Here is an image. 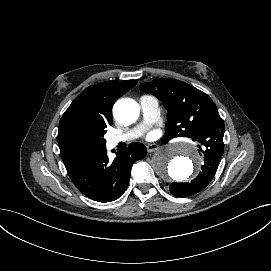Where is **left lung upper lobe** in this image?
<instances>
[{"mask_svg": "<svg viewBox=\"0 0 271 271\" xmlns=\"http://www.w3.org/2000/svg\"><path fill=\"white\" fill-rule=\"evenodd\" d=\"M140 88L155 95L168 110L163 141L189 137L224 150V121L207 94L185 82L163 78L140 84Z\"/></svg>", "mask_w": 271, "mask_h": 271, "instance_id": "obj_1", "label": "left lung upper lobe"}]
</instances>
